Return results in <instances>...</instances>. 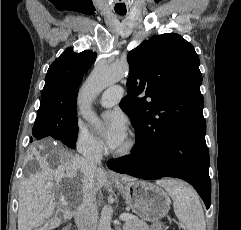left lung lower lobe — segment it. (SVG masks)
<instances>
[{
	"mask_svg": "<svg viewBox=\"0 0 241 230\" xmlns=\"http://www.w3.org/2000/svg\"><path fill=\"white\" fill-rule=\"evenodd\" d=\"M115 172L143 179L177 177L190 183L207 209L211 201L209 152L205 134L173 132L160 141L136 136L132 153L109 160Z\"/></svg>",
	"mask_w": 241,
	"mask_h": 230,
	"instance_id": "obj_1",
	"label": "left lung lower lobe"
}]
</instances>
